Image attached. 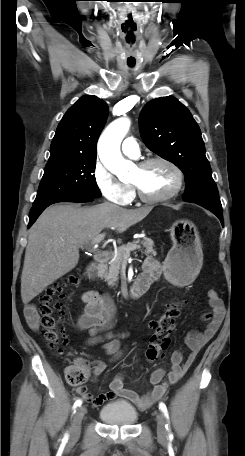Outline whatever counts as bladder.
<instances>
[{"instance_id": "obj_1", "label": "bladder", "mask_w": 245, "mask_h": 456, "mask_svg": "<svg viewBox=\"0 0 245 456\" xmlns=\"http://www.w3.org/2000/svg\"><path fill=\"white\" fill-rule=\"evenodd\" d=\"M99 416L110 425L130 426L138 420V412L126 401H113L102 407Z\"/></svg>"}]
</instances>
